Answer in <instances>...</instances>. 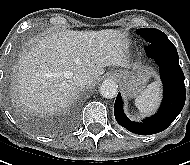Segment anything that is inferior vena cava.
<instances>
[{
	"label": "inferior vena cava",
	"mask_w": 190,
	"mask_h": 165,
	"mask_svg": "<svg viewBox=\"0 0 190 165\" xmlns=\"http://www.w3.org/2000/svg\"><path fill=\"white\" fill-rule=\"evenodd\" d=\"M73 80L77 86H87L93 82V77L85 71H79L74 74Z\"/></svg>",
	"instance_id": "602c4592"
}]
</instances>
